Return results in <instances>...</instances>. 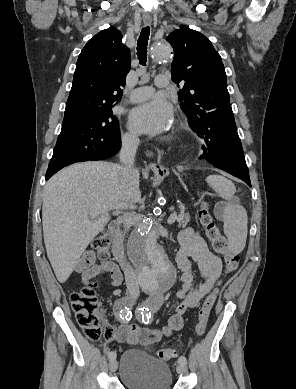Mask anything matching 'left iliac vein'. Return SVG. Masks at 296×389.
I'll return each instance as SVG.
<instances>
[{
    "instance_id": "1",
    "label": "left iliac vein",
    "mask_w": 296,
    "mask_h": 389,
    "mask_svg": "<svg viewBox=\"0 0 296 389\" xmlns=\"http://www.w3.org/2000/svg\"><path fill=\"white\" fill-rule=\"evenodd\" d=\"M176 370H177V373H178V374H185L186 371H187L186 364H181V363H179L178 366H177V368H176Z\"/></svg>"
}]
</instances>
